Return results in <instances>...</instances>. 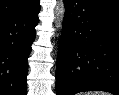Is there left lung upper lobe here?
Listing matches in <instances>:
<instances>
[{
	"instance_id": "1",
	"label": "left lung upper lobe",
	"mask_w": 119,
	"mask_h": 95,
	"mask_svg": "<svg viewBox=\"0 0 119 95\" xmlns=\"http://www.w3.org/2000/svg\"><path fill=\"white\" fill-rule=\"evenodd\" d=\"M96 1L119 7V0H96Z\"/></svg>"
}]
</instances>
